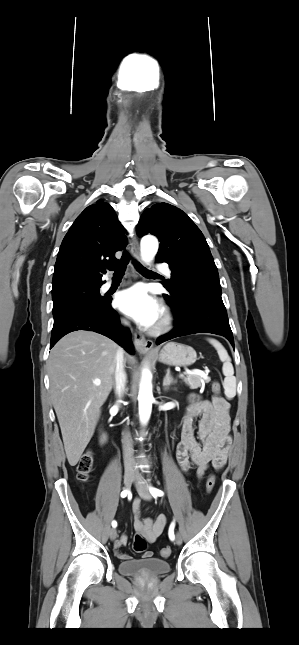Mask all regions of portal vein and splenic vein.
<instances>
[{
	"mask_svg": "<svg viewBox=\"0 0 299 645\" xmlns=\"http://www.w3.org/2000/svg\"><path fill=\"white\" fill-rule=\"evenodd\" d=\"M185 374H193V375L206 376V374H205L203 371H201V370H197V369H196V370H192V371H187ZM182 376H183V374H181V375H180V377H182ZM93 383H94V385L99 386V385L101 384V381H100V380H95Z\"/></svg>",
	"mask_w": 299,
	"mask_h": 645,
	"instance_id": "portal-vein-and-splenic-vein-1",
	"label": "portal vein and splenic vein"
}]
</instances>
